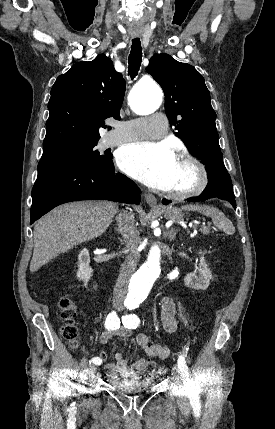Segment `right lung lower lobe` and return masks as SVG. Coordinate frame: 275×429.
<instances>
[{
    "mask_svg": "<svg viewBox=\"0 0 275 429\" xmlns=\"http://www.w3.org/2000/svg\"><path fill=\"white\" fill-rule=\"evenodd\" d=\"M86 199L140 204V189L131 179L116 173L113 163L53 171L37 177L32 189L30 224L60 204Z\"/></svg>",
    "mask_w": 275,
    "mask_h": 429,
    "instance_id": "obj_1",
    "label": "right lung lower lobe"
}]
</instances>
